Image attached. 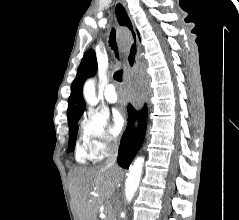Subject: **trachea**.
Instances as JSON below:
<instances>
[{
    "mask_svg": "<svg viewBox=\"0 0 239 220\" xmlns=\"http://www.w3.org/2000/svg\"><path fill=\"white\" fill-rule=\"evenodd\" d=\"M109 45H110L111 49L115 52L116 57L118 58V48H117V44H116V37H115L114 29H112L110 36H109ZM122 75H123V71L119 70L114 73V79L118 82H122Z\"/></svg>",
    "mask_w": 239,
    "mask_h": 220,
    "instance_id": "1",
    "label": "trachea"
}]
</instances>
